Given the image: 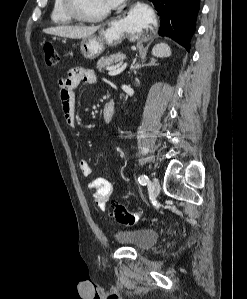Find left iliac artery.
I'll return each mask as SVG.
<instances>
[{
    "label": "left iliac artery",
    "mask_w": 247,
    "mask_h": 299,
    "mask_svg": "<svg viewBox=\"0 0 247 299\" xmlns=\"http://www.w3.org/2000/svg\"><path fill=\"white\" fill-rule=\"evenodd\" d=\"M139 183L141 185H147L149 183V178L146 175H141L139 177Z\"/></svg>",
    "instance_id": "44dca946"
}]
</instances>
